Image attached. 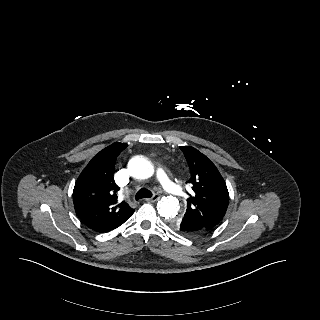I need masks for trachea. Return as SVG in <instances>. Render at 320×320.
<instances>
[{"instance_id":"trachea-1","label":"trachea","mask_w":320,"mask_h":320,"mask_svg":"<svg viewBox=\"0 0 320 320\" xmlns=\"http://www.w3.org/2000/svg\"><path fill=\"white\" fill-rule=\"evenodd\" d=\"M150 197H152L151 191H149L148 189H145V188L140 189L137 192V194L135 195L136 200H140L143 198H150Z\"/></svg>"}]
</instances>
